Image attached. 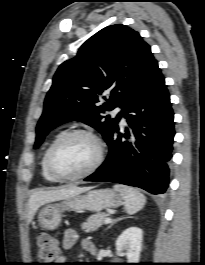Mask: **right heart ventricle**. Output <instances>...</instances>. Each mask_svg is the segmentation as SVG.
Instances as JSON below:
<instances>
[{
  "label": "right heart ventricle",
  "instance_id": "e07e8e85",
  "mask_svg": "<svg viewBox=\"0 0 205 265\" xmlns=\"http://www.w3.org/2000/svg\"><path fill=\"white\" fill-rule=\"evenodd\" d=\"M62 133H58L56 134L53 139L51 140L50 144L48 145V147L46 148V150L44 151V154H43V157H42V160H41V169H42V175L44 177L45 180L49 181V182H57V180L55 178H53L49 172L47 171L46 169V166H45V155H46V152H47V149L49 148V146L52 144V142Z\"/></svg>",
  "mask_w": 205,
  "mask_h": 265
}]
</instances>
